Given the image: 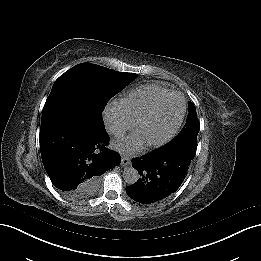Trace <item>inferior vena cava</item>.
Listing matches in <instances>:
<instances>
[{
    "label": "inferior vena cava",
    "mask_w": 261,
    "mask_h": 261,
    "mask_svg": "<svg viewBox=\"0 0 261 261\" xmlns=\"http://www.w3.org/2000/svg\"><path fill=\"white\" fill-rule=\"evenodd\" d=\"M106 131L108 134L113 135L116 138H121L125 134V128L117 121L107 120L105 122Z\"/></svg>",
    "instance_id": "1"
}]
</instances>
